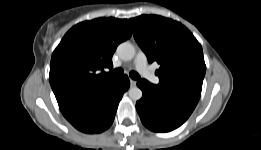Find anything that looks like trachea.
<instances>
[{
    "label": "trachea",
    "mask_w": 261,
    "mask_h": 150,
    "mask_svg": "<svg viewBox=\"0 0 261 150\" xmlns=\"http://www.w3.org/2000/svg\"><path fill=\"white\" fill-rule=\"evenodd\" d=\"M123 74V70L121 68H117L115 70H113L112 72L109 73V75L111 76H121ZM129 76L132 78V79H139L140 76L137 72L135 71H131L129 73Z\"/></svg>",
    "instance_id": "obj_1"
}]
</instances>
